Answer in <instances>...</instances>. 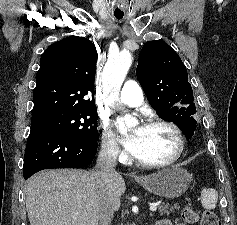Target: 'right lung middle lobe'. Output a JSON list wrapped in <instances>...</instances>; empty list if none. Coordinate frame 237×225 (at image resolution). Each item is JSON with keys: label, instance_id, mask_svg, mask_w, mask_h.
Returning a JSON list of instances; mask_svg holds the SVG:
<instances>
[{"label": "right lung middle lobe", "instance_id": "1", "mask_svg": "<svg viewBox=\"0 0 237 225\" xmlns=\"http://www.w3.org/2000/svg\"><path fill=\"white\" fill-rule=\"evenodd\" d=\"M95 108L56 115L34 121L31 129H44L70 135L84 141H98Z\"/></svg>", "mask_w": 237, "mask_h": 225}]
</instances>
